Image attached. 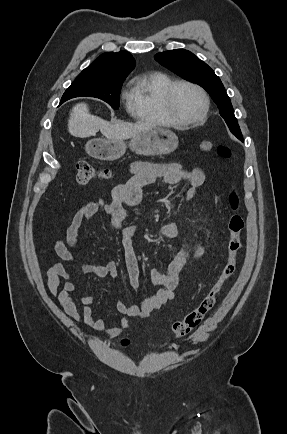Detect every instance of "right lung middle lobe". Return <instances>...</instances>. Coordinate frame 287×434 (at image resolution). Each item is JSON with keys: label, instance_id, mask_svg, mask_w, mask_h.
Masks as SVG:
<instances>
[{"label": "right lung middle lobe", "instance_id": "right-lung-middle-lobe-1", "mask_svg": "<svg viewBox=\"0 0 287 434\" xmlns=\"http://www.w3.org/2000/svg\"><path fill=\"white\" fill-rule=\"evenodd\" d=\"M123 81L78 76L63 94L60 104L74 97L89 96L99 98L117 110L120 104L119 95Z\"/></svg>", "mask_w": 287, "mask_h": 434}]
</instances>
